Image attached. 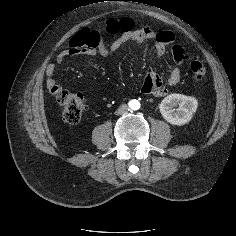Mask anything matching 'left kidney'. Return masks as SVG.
I'll return each mask as SVG.
<instances>
[{"instance_id": "left-kidney-1", "label": "left kidney", "mask_w": 236, "mask_h": 236, "mask_svg": "<svg viewBox=\"0 0 236 236\" xmlns=\"http://www.w3.org/2000/svg\"><path fill=\"white\" fill-rule=\"evenodd\" d=\"M178 106L177 109L174 107ZM198 107V101L191 96L170 94L165 97L159 108L163 118L172 125H185L188 123Z\"/></svg>"}]
</instances>
